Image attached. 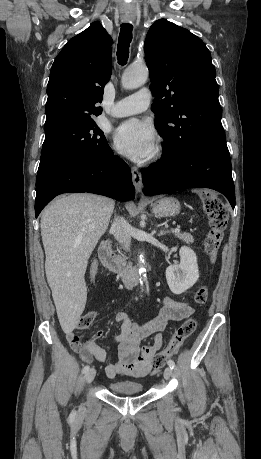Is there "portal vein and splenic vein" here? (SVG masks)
<instances>
[{"instance_id": "18ae733b", "label": "portal vein and splenic vein", "mask_w": 261, "mask_h": 459, "mask_svg": "<svg viewBox=\"0 0 261 459\" xmlns=\"http://www.w3.org/2000/svg\"><path fill=\"white\" fill-rule=\"evenodd\" d=\"M180 231H181V230H180V228H179V227H178V228H175V229H173V232H176V233H179Z\"/></svg>"}]
</instances>
